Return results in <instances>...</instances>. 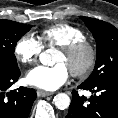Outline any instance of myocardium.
Segmentation results:
<instances>
[{"label":"myocardium","mask_w":118,"mask_h":118,"mask_svg":"<svg viewBox=\"0 0 118 118\" xmlns=\"http://www.w3.org/2000/svg\"><path fill=\"white\" fill-rule=\"evenodd\" d=\"M59 51L63 52L67 56H74L81 52L87 53V61L85 65L79 69L70 71L71 75L77 78L87 77L91 73L97 62V48L94 43L85 38L62 45L59 47Z\"/></svg>","instance_id":"obj_1"}]
</instances>
